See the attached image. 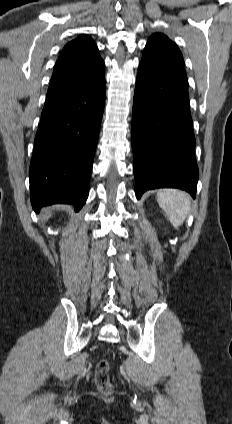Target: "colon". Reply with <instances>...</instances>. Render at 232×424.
I'll use <instances>...</instances> for the list:
<instances>
[{"label":"colon","mask_w":232,"mask_h":424,"mask_svg":"<svg viewBox=\"0 0 232 424\" xmlns=\"http://www.w3.org/2000/svg\"><path fill=\"white\" fill-rule=\"evenodd\" d=\"M95 384L97 388L106 395H109L113 391V385L110 380V364L107 360H101L96 367Z\"/></svg>","instance_id":"obj_1"}]
</instances>
